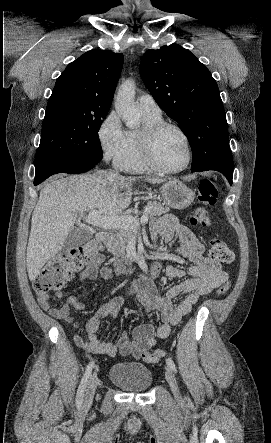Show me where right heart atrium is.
I'll use <instances>...</instances> for the list:
<instances>
[{"label":"right heart atrium","instance_id":"obj_1","mask_svg":"<svg viewBox=\"0 0 271 443\" xmlns=\"http://www.w3.org/2000/svg\"><path fill=\"white\" fill-rule=\"evenodd\" d=\"M97 140L104 157L121 166L128 153V139L115 110L101 120Z\"/></svg>","mask_w":271,"mask_h":443}]
</instances>
